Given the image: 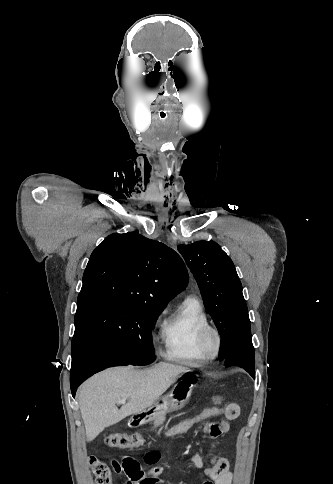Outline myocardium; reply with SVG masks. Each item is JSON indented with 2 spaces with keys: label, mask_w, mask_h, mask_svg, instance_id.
Wrapping results in <instances>:
<instances>
[{
  "label": "myocardium",
  "mask_w": 333,
  "mask_h": 484,
  "mask_svg": "<svg viewBox=\"0 0 333 484\" xmlns=\"http://www.w3.org/2000/svg\"><path fill=\"white\" fill-rule=\"evenodd\" d=\"M210 342L214 343V349L209 348ZM198 347L206 359H215L222 348V336L217 328L212 325L204 326L198 336Z\"/></svg>",
  "instance_id": "obj_1"
}]
</instances>
